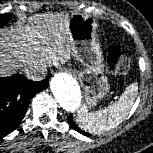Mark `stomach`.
I'll use <instances>...</instances> for the list:
<instances>
[{
  "instance_id": "0dacf381",
  "label": "stomach",
  "mask_w": 153,
  "mask_h": 153,
  "mask_svg": "<svg viewBox=\"0 0 153 153\" xmlns=\"http://www.w3.org/2000/svg\"><path fill=\"white\" fill-rule=\"evenodd\" d=\"M97 27V21L93 17L81 13H74L68 19L72 55L84 66L77 77L90 107L95 106L109 92L102 50L96 34Z\"/></svg>"
}]
</instances>
